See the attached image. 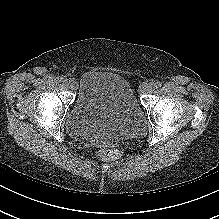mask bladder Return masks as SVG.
<instances>
[{
    "instance_id": "31cf9c89",
    "label": "bladder",
    "mask_w": 219,
    "mask_h": 219,
    "mask_svg": "<svg viewBox=\"0 0 219 219\" xmlns=\"http://www.w3.org/2000/svg\"><path fill=\"white\" fill-rule=\"evenodd\" d=\"M76 87L77 96L65 119L73 138L111 144L144 130V109L123 76L87 71L79 77Z\"/></svg>"
}]
</instances>
